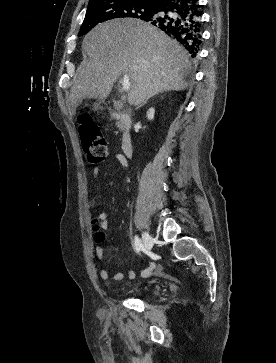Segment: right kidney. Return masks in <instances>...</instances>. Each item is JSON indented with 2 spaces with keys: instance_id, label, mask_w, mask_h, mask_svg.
<instances>
[{
  "instance_id": "ca27d5eb",
  "label": "right kidney",
  "mask_w": 276,
  "mask_h": 363,
  "mask_svg": "<svg viewBox=\"0 0 276 363\" xmlns=\"http://www.w3.org/2000/svg\"><path fill=\"white\" fill-rule=\"evenodd\" d=\"M154 114H155V109L154 108H149L147 111V118L148 120H153L154 119Z\"/></svg>"
}]
</instances>
